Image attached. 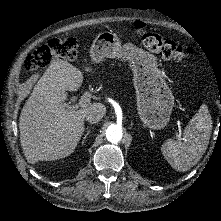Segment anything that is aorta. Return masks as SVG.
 Wrapping results in <instances>:
<instances>
[{
  "label": "aorta",
  "instance_id": "obj_1",
  "mask_svg": "<svg viewBox=\"0 0 221 221\" xmlns=\"http://www.w3.org/2000/svg\"><path fill=\"white\" fill-rule=\"evenodd\" d=\"M122 136V127L119 125L112 124L106 129V138L113 144L118 143L122 139Z\"/></svg>",
  "mask_w": 221,
  "mask_h": 221
}]
</instances>
